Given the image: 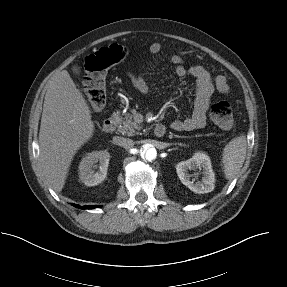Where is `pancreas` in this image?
Masks as SVG:
<instances>
[{
	"label": "pancreas",
	"instance_id": "cf45deb5",
	"mask_svg": "<svg viewBox=\"0 0 287 287\" xmlns=\"http://www.w3.org/2000/svg\"><path fill=\"white\" fill-rule=\"evenodd\" d=\"M113 117L118 122V131L123 135L134 136L141 129V126L132 120L133 116L130 113L124 114V117L119 114H115Z\"/></svg>",
	"mask_w": 287,
	"mask_h": 287
}]
</instances>
